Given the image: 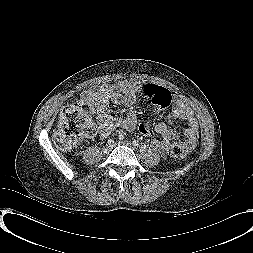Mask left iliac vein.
<instances>
[{"label": "left iliac vein", "instance_id": "4c4485c4", "mask_svg": "<svg viewBox=\"0 0 253 253\" xmlns=\"http://www.w3.org/2000/svg\"><path fill=\"white\" fill-rule=\"evenodd\" d=\"M121 144H124L126 146L131 147V142L130 141H124V142H120Z\"/></svg>", "mask_w": 253, "mask_h": 253}]
</instances>
